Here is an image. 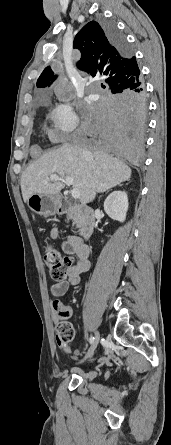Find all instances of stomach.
Listing matches in <instances>:
<instances>
[{"label": "stomach", "instance_id": "0dacf381", "mask_svg": "<svg viewBox=\"0 0 171 445\" xmlns=\"http://www.w3.org/2000/svg\"><path fill=\"white\" fill-rule=\"evenodd\" d=\"M28 207L35 213L41 216H50L57 212L59 208V197L32 194L27 200Z\"/></svg>", "mask_w": 171, "mask_h": 445}]
</instances>
